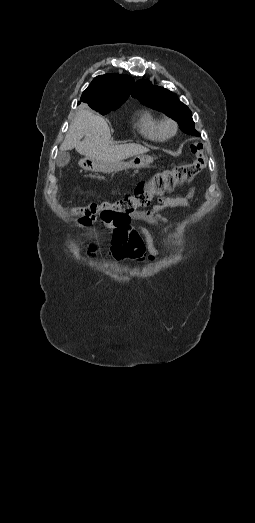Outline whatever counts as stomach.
Wrapping results in <instances>:
<instances>
[{"mask_svg":"<svg viewBox=\"0 0 255 523\" xmlns=\"http://www.w3.org/2000/svg\"><path fill=\"white\" fill-rule=\"evenodd\" d=\"M152 158L150 156H136V158H133L131 162H128V164H122L123 168H134V170H139V168H147L149 164H151ZM111 172L113 174H116L118 172V169L116 167H113L111 169Z\"/></svg>","mask_w":255,"mask_h":523,"instance_id":"obj_1","label":"stomach"}]
</instances>
